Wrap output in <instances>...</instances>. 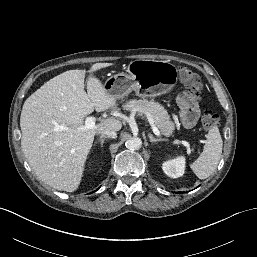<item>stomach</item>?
<instances>
[{
  "label": "stomach",
  "instance_id": "obj_1",
  "mask_svg": "<svg viewBox=\"0 0 257 257\" xmlns=\"http://www.w3.org/2000/svg\"><path fill=\"white\" fill-rule=\"evenodd\" d=\"M178 80L177 67L167 61L139 59L131 61L127 73L110 77L105 91L117 99L134 91L140 97L154 98L169 93Z\"/></svg>",
  "mask_w": 257,
  "mask_h": 257
}]
</instances>
